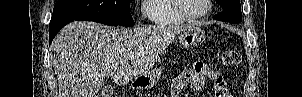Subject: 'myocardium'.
<instances>
[{"label": "myocardium", "instance_id": "obj_1", "mask_svg": "<svg viewBox=\"0 0 302 97\" xmlns=\"http://www.w3.org/2000/svg\"><path fill=\"white\" fill-rule=\"evenodd\" d=\"M173 5H174V9L176 10V12L186 21H197L200 20L202 18H204L205 16H207L211 9H212V1L211 0H205V10L198 14V15H189L187 13H185L181 7L180 4V0H173Z\"/></svg>", "mask_w": 302, "mask_h": 97}]
</instances>
